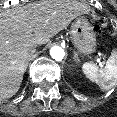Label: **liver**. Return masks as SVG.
Here are the masks:
<instances>
[{
	"instance_id": "6515ba94",
	"label": "liver",
	"mask_w": 117,
	"mask_h": 117,
	"mask_svg": "<svg viewBox=\"0 0 117 117\" xmlns=\"http://www.w3.org/2000/svg\"><path fill=\"white\" fill-rule=\"evenodd\" d=\"M88 10L74 0H49L0 12V100L19 90L30 48L46 44Z\"/></svg>"
}]
</instances>
